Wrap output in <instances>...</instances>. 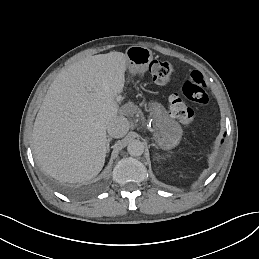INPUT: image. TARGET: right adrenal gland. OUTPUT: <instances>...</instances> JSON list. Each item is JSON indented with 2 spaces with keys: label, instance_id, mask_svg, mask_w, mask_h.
<instances>
[{
  "label": "right adrenal gland",
  "instance_id": "1",
  "mask_svg": "<svg viewBox=\"0 0 259 259\" xmlns=\"http://www.w3.org/2000/svg\"><path fill=\"white\" fill-rule=\"evenodd\" d=\"M112 140V138H108V140H107V150L109 151L110 150V148H109V145H110V141Z\"/></svg>",
  "mask_w": 259,
  "mask_h": 259
}]
</instances>
